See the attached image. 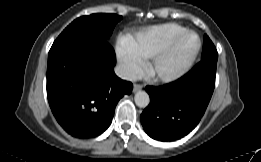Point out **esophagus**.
Returning <instances> with one entry per match:
<instances>
[{
  "instance_id": "34e87169",
  "label": "esophagus",
  "mask_w": 261,
  "mask_h": 162,
  "mask_svg": "<svg viewBox=\"0 0 261 162\" xmlns=\"http://www.w3.org/2000/svg\"><path fill=\"white\" fill-rule=\"evenodd\" d=\"M142 89V85L140 84H134L133 86V92L140 91Z\"/></svg>"
}]
</instances>
